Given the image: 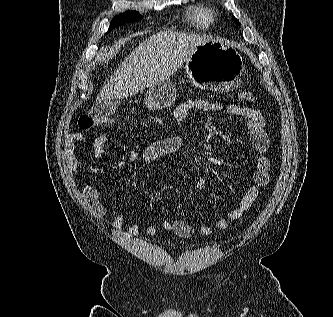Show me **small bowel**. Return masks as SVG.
Wrapping results in <instances>:
<instances>
[{"mask_svg":"<svg viewBox=\"0 0 333 317\" xmlns=\"http://www.w3.org/2000/svg\"><path fill=\"white\" fill-rule=\"evenodd\" d=\"M221 109H223V106L216 102L206 99H193L178 104L173 111V116L178 127L182 129L184 120L192 111L211 112ZM227 110L229 113L243 117L247 121L251 145L259 154L255 162L252 184L238 203L228 212L227 216L217 220L214 225H204L196 229L193 225L181 219H165L161 224L162 228L180 237L189 238L196 232L202 235H210L214 229H226L230 221L240 219L245 211L254 203L258 196L259 188L268 185L270 182V160L266 155L270 146V140L266 130L264 115L256 109L245 108L236 104L227 106ZM108 138V134H102L95 139L94 155L96 157L101 156ZM82 140L83 135L80 133H72L66 139L64 157L67 167L73 176L77 175L76 146ZM182 146L183 141L178 136L159 139L148 144L141 153L131 151L127 157V161L128 163L141 161L145 164H152L166 155L179 151ZM80 193L95 216L103 217L105 215L106 208L100 199V190L98 187L93 184H86L81 187ZM123 223L124 215L122 212H119L112 220L111 228L119 231L122 229ZM138 232V224L134 222L128 229V235L136 236ZM157 232L158 227L155 225H149L146 228L148 235H155Z\"/></svg>","mask_w":333,"mask_h":317,"instance_id":"small-bowel-1","label":"small bowel"}]
</instances>
